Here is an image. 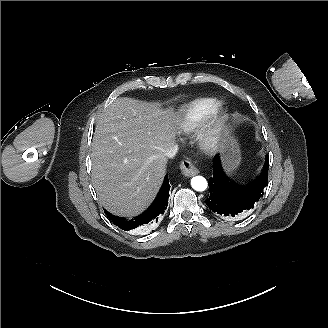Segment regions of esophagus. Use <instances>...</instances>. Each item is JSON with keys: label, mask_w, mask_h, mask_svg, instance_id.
Here are the masks:
<instances>
[{"label": "esophagus", "mask_w": 328, "mask_h": 328, "mask_svg": "<svg viewBox=\"0 0 328 328\" xmlns=\"http://www.w3.org/2000/svg\"><path fill=\"white\" fill-rule=\"evenodd\" d=\"M181 173L186 177H192L199 173L198 168L188 160H183L180 164Z\"/></svg>", "instance_id": "34e87169"}]
</instances>
